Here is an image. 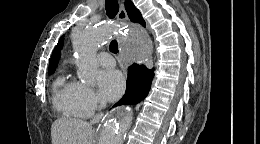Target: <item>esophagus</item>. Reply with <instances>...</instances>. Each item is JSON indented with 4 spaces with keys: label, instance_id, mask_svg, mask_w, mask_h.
I'll use <instances>...</instances> for the list:
<instances>
[{
    "label": "esophagus",
    "instance_id": "34e87169",
    "mask_svg": "<svg viewBox=\"0 0 260 144\" xmlns=\"http://www.w3.org/2000/svg\"><path fill=\"white\" fill-rule=\"evenodd\" d=\"M117 19L120 23H127V21H128V16H127V13L125 11L123 4L120 5Z\"/></svg>",
    "mask_w": 260,
    "mask_h": 144
}]
</instances>
